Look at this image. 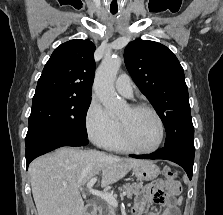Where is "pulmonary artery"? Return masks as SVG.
<instances>
[{
  "mask_svg": "<svg viewBox=\"0 0 223 215\" xmlns=\"http://www.w3.org/2000/svg\"><path fill=\"white\" fill-rule=\"evenodd\" d=\"M115 89L124 96H131L133 92V83L127 75H120L115 80Z\"/></svg>",
  "mask_w": 223,
  "mask_h": 215,
  "instance_id": "pulmonary-artery-1",
  "label": "pulmonary artery"
}]
</instances>
